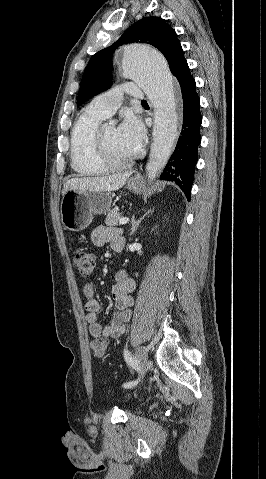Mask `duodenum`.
Wrapping results in <instances>:
<instances>
[{
    "mask_svg": "<svg viewBox=\"0 0 266 479\" xmlns=\"http://www.w3.org/2000/svg\"><path fill=\"white\" fill-rule=\"evenodd\" d=\"M113 250L116 251V252H119L121 250V248L117 245V244H114L112 246Z\"/></svg>",
    "mask_w": 266,
    "mask_h": 479,
    "instance_id": "1",
    "label": "duodenum"
}]
</instances>
